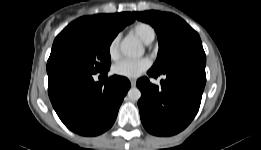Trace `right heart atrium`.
<instances>
[{"instance_id":"d8ad5b80","label":"right heart atrium","mask_w":261,"mask_h":150,"mask_svg":"<svg viewBox=\"0 0 261 150\" xmlns=\"http://www.w3.org/2000/svg\"><path fill=\"white\" fill-rule=\"evenodd\" d=\"M119 36H115L112 38V40L109 42L108 45V55L112 60H116L119 57Z\"/></svg>"}]
</instances>
